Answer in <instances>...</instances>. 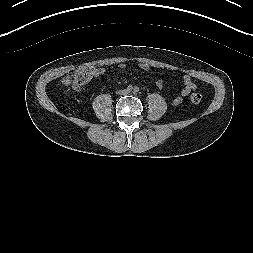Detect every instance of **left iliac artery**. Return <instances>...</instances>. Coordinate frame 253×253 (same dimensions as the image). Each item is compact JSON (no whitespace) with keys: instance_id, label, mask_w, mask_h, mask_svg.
Segmentation results:
<instances>
[{"instance_id":"44dca946","label":"left iliac artery","mask_w":253,"mask_h":253,"mask_svg":"<svg viewBox=\"0 0 253 253\" xmlns=\"http://www.w3.org/2000/svg\"><path fill=\"white\" fill-rule=\"evenodd\" d=\"M134 91H135V92H138V91H139V87L136 86V87L134 88Z\"/></svg>"}]
</instances>
